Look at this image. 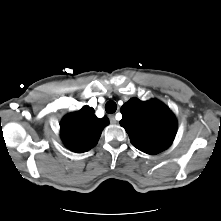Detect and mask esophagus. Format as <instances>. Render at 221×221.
Here are the masks:
<instances>
[{"mask_svg": "<svg viewBox=\"0 0 221 221\" xmlns=\"http://www.w3.org/2000/svg\"><path fill=\"white\" fill-rule=\"evenodd\" d=\"M109 119H110V123H111V124H116V123H117V119L115 118L114 115H110V116H109Z\"/></svg>", "mask_w": 221, "mask_h": 221, "instance_id": "esophagus-1", "label": "esophagus"}]
</instances>
